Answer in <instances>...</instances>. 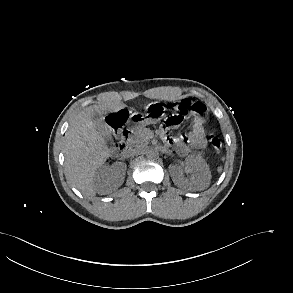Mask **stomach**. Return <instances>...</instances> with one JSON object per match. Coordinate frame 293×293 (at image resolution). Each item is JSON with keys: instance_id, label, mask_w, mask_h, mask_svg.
Here are the masks:
<instances>
[{"instance_id": "obj_1", "label": "stomach", "mask_w": 293, "mask_h": 293, "mask_svg": "<svg viewBox=\"0 0 293 293\" xmlns=\"http://www.w3.org/2000/svg\"><path fill=\"white\" fill-rule=\"evenodd\" d=\"M166 107L159 101L151 102L145 107V112H134L130 116L129 124L138 129L150 124H156L165 116Z\"/></svg>"}]
</instances>
